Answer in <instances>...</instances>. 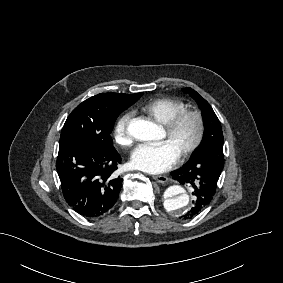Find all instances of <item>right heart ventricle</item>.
I'll list each match as a JSON object with an SVG mask.
<instances>
[{
    "label": "right heart ventricle",
    "instance_id": "obj_1",
    "mask_svg": "<svg viewBox=\"0 0 283 283\" xmlns=\"http://www.w3.org/2000/svg\"><path fill=\"white\" fill-rule=\"evenodd\" d=\"M187 109L186 103L175 97H159L139 106V111L162 125L171 117Z\"/></svg>",
    "mask_w": 283,
    "mask_h": 283
}]
</instances>
